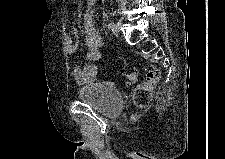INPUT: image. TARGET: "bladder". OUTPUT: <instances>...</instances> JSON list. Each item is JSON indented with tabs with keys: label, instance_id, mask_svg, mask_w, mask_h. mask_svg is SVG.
Here are the masks:
<instances>
[{
	"label": "bladder",
	"instance_id": "31cf9c89",
	"mask_svg": "<svg viewBox=\"0 0 225 159\" xmlns=\"http://www.w3.org/2000/svg\"><path fill=\"white\" fill-rule=\"evenodd\" d=\"M77 95L82 103L90 105L105 117L117 116L124 106L119 90L102 82H92L81 87Z\"/></svg>",
	"mask_w": 225,
	"mask_h": 159
}]
</instances>
